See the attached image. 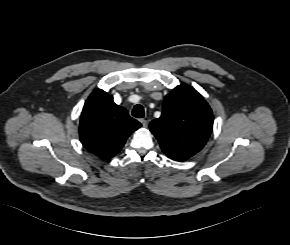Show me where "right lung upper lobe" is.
Listing matches in <instances>:
<instances>
[{
	"mask_svg": "<svg viewBox=\"0 0 290 245\" xmlns=\"http://www.w3.org/2000/svg\"><path fill=\"white\" fill-rule=\"evenodd\" d=\"M141 124L124 107L114 103L105 91L95 90L87 99L80 119L79 136L83 146L102 159L115 156L126 139Z\"/></svg>",
	"mask_w": 290,
	"mask_h": 245,
	"instance_id": "right-lung-upper-lobe-1",
	"label": "right lung upper lobe"
}]
</instances>
